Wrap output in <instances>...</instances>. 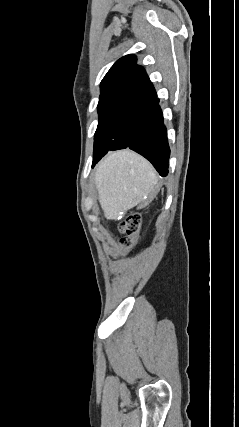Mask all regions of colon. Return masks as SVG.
Wrapping results in <instances>:
<instances>
[{"instance_id":"obj_1","label":"colon","mask_w":239,"mask_h":427,"mask_svg":"<svg viewBox=\"0 0 239 427\" xmlns=\"http://www.w3.org/2000/svg\"><path fill=\"white\" fill-rule=\"evenodd\" d=\"M141 226L142 216L139 213L130 215L125 222L120 225V232L126 236L125 239L122 240V245L125 248H129L132 245L140 233ZM118 258L119 256H115V259Z\"/></svg>"}]
</instances>
